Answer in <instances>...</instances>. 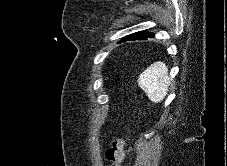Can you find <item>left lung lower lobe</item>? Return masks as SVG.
<instances>
[{
    "label": "left lung lower lobe",
    "instance_id": "1",
    "mask_svg": "<svg viewBox=\"0 0 227 166\" xmlns=\"http://www.w3.org/2000/svg\"><path fill=\"white\" fill-rule=\"evenodd\" d=\"M154 35L149 32H137L131 35L126 36L123 41L126 40H146L147 38H152Z\"/></svg>",
    "mask_w": 227,
    "mask_h": 166
}]
</instances>
